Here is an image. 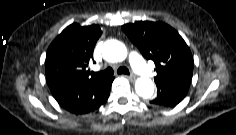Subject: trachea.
I'll use <instances>...</instances> for the list:
<instances>
[{
	"label": "trachea",
	"instance_id": "3493384b",
	"mask_svg": "<svg viewBox=\"0 0 236 135\" xmlns=\"http://www.w3.org/2000/svg\"><path fill=\"white\" fill-rule=\"evenodd\" d=\"M113 73H114L113 69L111 67H108L104 71L96 72L93 74L98 77H110L113 75ZM117 73L129 75V70L126 67H120L118 68Z\"/></svg>",
	"mask_w": 236,
	"mask_h": 135
}]
</instances>
